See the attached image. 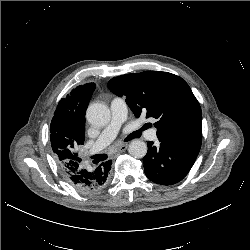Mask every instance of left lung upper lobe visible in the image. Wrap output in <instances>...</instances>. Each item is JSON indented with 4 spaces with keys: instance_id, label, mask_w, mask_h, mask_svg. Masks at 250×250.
<instances>
[{
    "instance_id": "left-lung-upper-lobe-1",
    "label": "left lung upper lobe",
    "mask_w": 250,
    "mask_h": 250,
    "mask_svg": "<svg viewBox=\"0 0 250 250\" xmlns=\"http://www.w3.org/2000/svg\"><path fill=\"white\" fill-rule=\"evenodd\" d=\"M108 88L126 102L138 118L157 120L159 140L201 147L202 112L189 85L168 72L145 71L114 77Z\"/></svg>"
}]
</instances>
